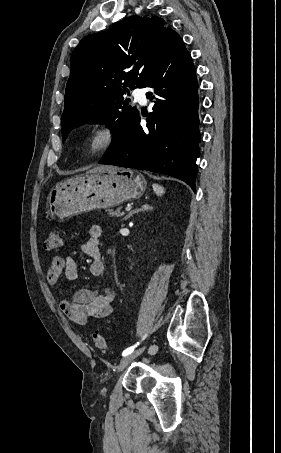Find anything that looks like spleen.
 <instances>
[{"mask_svg": "<svg viewBox=\"0 0 281 453\" xmlns=\"http://www.w3.org/2000/svg\"><path fill=\"white\" fill-rule=\"evenodd\" d=\"M153 186V190L154 192H156V194H158V196H161V194H163V192H165L163 186H161V184H152Z\"/></svg>", "mask_w": 281, "mask_h": 453, "instance_id": "1", "label": "spleen"}]
</instances>
